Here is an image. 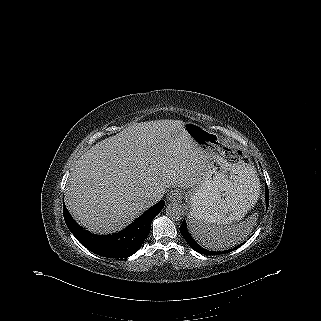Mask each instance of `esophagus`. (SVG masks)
<instances>
[{"instance_id": "1", "label": "esophagus", "mask_w": 321, "mask_h": 321, "mask_svg": "<svg viewBox=\"0 0 321 321\" xmlns=\"http://www.w3.org/2000/svg\"><path fill=\"white\" fill-rule=\"evenodd\" d=\"M182 199V192L179 190H172L170 193L167 195V200L169 202H175L179 201Z\"/></svg>"}]
</instances>
